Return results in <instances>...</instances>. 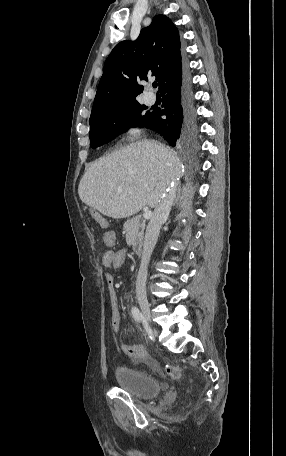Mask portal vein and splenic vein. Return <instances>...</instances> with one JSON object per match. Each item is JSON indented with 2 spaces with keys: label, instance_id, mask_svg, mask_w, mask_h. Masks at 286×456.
<instances>
[{
  "label": "portal vein and splenic vein",
  "instance_id": "portal-vein-and-splenic-vein-1",
  "mask_svg": "<svg viewBox=\"0 0 286 456\" xmlns=\"http://www.w3.org/2000/svg\"><path fill=\"white\" fill-rule=\"evenodd\" d=\"M151 216H152V211H150L149 209H145V210H144L143 217H144L145 219H149Z\"/></svg>",
  "mask_w": 286,
  "mask_h": 456
}]
</instances>
